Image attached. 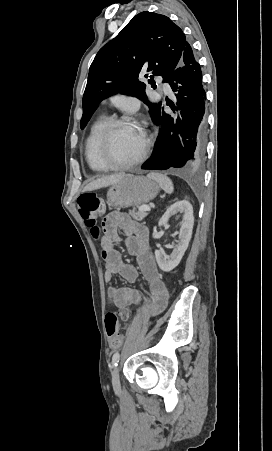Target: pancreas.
Wrapping results in <instances>:
<instances>
[{"label": "pancreas", "instance_id": "obj_1", "mask_svg": "<svg viewBox=\"0 0 272 451\" xmlns=\"http://www.w3.org/2000/svg\"><path fill=\"white\" fill-rule=\"evenodd\" d=\"M129 214L133 220H144L148 214L146 212H136V208H133V210H129Z\"/></svg>", "mask_w": 272, "mask_h": 451}]
</instances>
